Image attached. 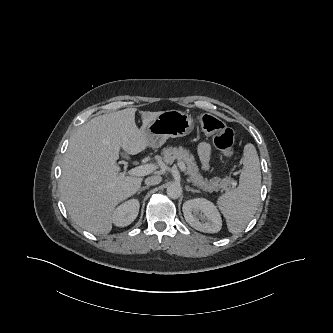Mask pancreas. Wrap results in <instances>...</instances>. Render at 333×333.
Returning a JSON list of instances; mask_svg holds the SVG:
<instances>
[{
	"label": "pancreas",
	"mask_w": 333,
	"mask_h": 333,
	"mask_svg": "<svg viewBox=\"0 0 333 333\" xmlns=\"http://www.w3.org/2000/svg\"><path fill=\"white\" fill-rule=\"evenodd\" d=\"M159 159L163 160L166 164H172L175 160L184 163L186 165V174L188 175L187 180L204 191H229L233 185L230 177L204 179L196 165L194 156L189 153V150L183 147L164 148L162 150V157H159Z\"/></svg>",
	"instance_id": "pancreas-1"
}]
</instances>
